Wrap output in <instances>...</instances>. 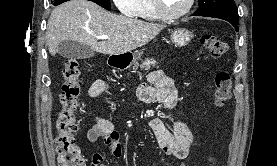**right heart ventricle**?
<instances>
[{
	"label": "right heart ventricle",
	"instance_id": "1",
	"mask_svg": "<svg viewBox=\"0 0 277 166\" xmlns=\"http://www.w3.org/2000/svg\"><path fill=\"white\" fill-rule=\"evenodd\" d=\"M132 16L148 22H156L161 19L154 9L152 0H139Z\"/></svg>",
	"mask_w": 277,
	"mask_h": 166
}]
</instances>
